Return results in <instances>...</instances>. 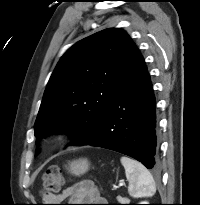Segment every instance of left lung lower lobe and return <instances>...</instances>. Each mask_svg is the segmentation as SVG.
Here are the masks:
<instances>
[{"label":"left lung lower lobe","instance_id":"left-lung-lower-lobe-1","mask_svg":"<svg viewBox=\"0 0 200 205\" xmlns=\"http://www.w3.org/2000/svg\"><path fill=\"white\" fill-rule=\"evenodd\" d=\"M156 103L145 61L135 47L111 105L93 137L83 145L120 152L148 169L157 166Z\"/></svg>","mask_w":200,"mask_h":205}]
</instances>
